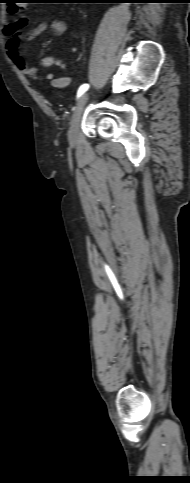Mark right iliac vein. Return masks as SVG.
<instances>
[{
  "label": "right iliac vein",
  "mask_w": 190,
  "mask_h": 483,
  "mask_svg": "<svg viewBox=\"0 0 190 483\" xmlns=\"http://www.w3.org/2000/svg\"><path fill=\"white\" fill-rule=\"evenodd\" d=\"M88 99H89V94L88 93L83 94L74 109V112L71 118L70 128L68 131V138L72 143L76 141L80 118Z\"/></svg>",
  "instance_id": "1"
}]
</instances>
